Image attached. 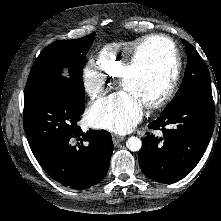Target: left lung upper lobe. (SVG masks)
<instances>
[{
  "mask_svg": "<svg viewBox=\"0 0 221 221\" xmlns=\"http://www.w3.org/2000/svg\"><path fill=\"white\" fill-rule=\"evenodd\" d=\"M188 55V64L183 82L172 101L163 111H170L194 96L212 98L211 81L207 66L195 48L183 40Z\"/></svg>",
  "mask_w": 221,
  "mask_h": 221,
  "instance_id": "5c2ea615",
  "label": "left lung upper lobe"
}]
</instances>
